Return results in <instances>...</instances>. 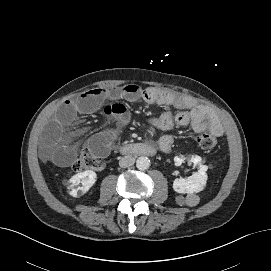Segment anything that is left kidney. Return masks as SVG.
I'll return each instance as SVG.
<instances>
[{
	"instance_id": "left-kidney-1",
	"label": "left kidney",
	"mask_w": 271,
	"mask_h": 271,
	"mask_svg": "<svg viewBox=\"0 0 271 271\" xmlns=\"http://www.w3.org/2000/svg\"><path fill=\"white\" fill-rule=\"evenodd\" d=\"M185 160L183 155L174 158L175 165L179 166ZM189 160L200 168L188 178H177L173 182V189L180 194H191L201 191L207 181V166L203 165L202 158L198 155H191Z\"/></svg>"
}]
</instances>
